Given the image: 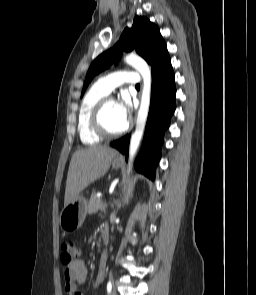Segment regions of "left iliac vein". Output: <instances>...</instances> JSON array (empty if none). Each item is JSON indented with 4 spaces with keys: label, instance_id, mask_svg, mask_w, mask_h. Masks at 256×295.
<instances>
[{
    "label": "left iliac vein",
    "instance_id": "1",
    "mask_svg": "<svg viewBox=\"0 0 256 295\" xmlns=\"http://www.w3.org/2000/svg\"><path fill=\"white\" fill-rule=\"evenodd\" d=\"M110 295H117V293H116V291H112L111 293H110Z\"/></svg>",
    "mask_w": 256,
    "mask_h": 295
}]
</instances>
